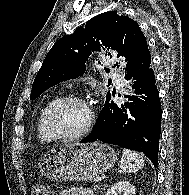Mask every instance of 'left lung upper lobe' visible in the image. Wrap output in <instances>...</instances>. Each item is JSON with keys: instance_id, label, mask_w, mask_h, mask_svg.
<instances>
[{"instance_id": "obj_1", "label": "left lung upper lobe", "mask_w": 189, "mask_h": 195, "mask_svg": "<svg viewBox=\"0 0 189 195\" xmlns=\"http://www.w3.org/2000/svg\"><path fill=\"white\" fill-rule=\"evenodd\" d=\"M102 49L106 53L111 49L117 58L124 59L125 76L151 58L146 38L136 21L116 11L104 12L54 44L35 77L30 99L59 82L83 75L89 56ZM110 96L108 92L107 99Z\"/></svg>"}]
</instances>
